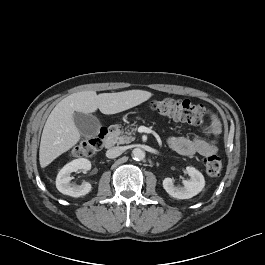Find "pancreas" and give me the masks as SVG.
<instances>
[{
	"label": "pancreas",
	"instance_id": "pancreas-1",
	"mask_svg": "<svg viewBox=\"0 0 265 265\" xmlns=\"http://www.w3.org/2000/svg\"><path fill=\"white\" fill-rule=\"evenodd\" d=\"M115 130L113 131L114 134V141L116 144H129L135 140V137L132 135L135 134L136 128L130 127V130L127 129L126 131L120 130L119 126H114Z\"/></svg>",
	"mask_w": 265,
	"mask_h": 265
}]
</instances>
